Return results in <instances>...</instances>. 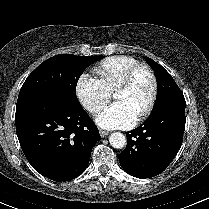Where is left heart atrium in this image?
<instances>
[{"instance_id":"obj_1","label":"left heart atrium","mask_w":209,"mask_h":209,"mask_svg":"<svg viewBox=\"0 0 209 209\" xmlns=\"http://www.w3.org/2000/svg\"><path fill=\"white\" fill-rule=\"evenodd\" d=\"M137 120L135 112L123 101H116L103 109L96 117V123L105 129L131 127Z\"/></svg>"}]
</instances>
